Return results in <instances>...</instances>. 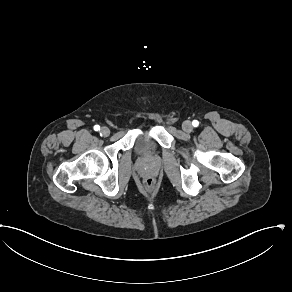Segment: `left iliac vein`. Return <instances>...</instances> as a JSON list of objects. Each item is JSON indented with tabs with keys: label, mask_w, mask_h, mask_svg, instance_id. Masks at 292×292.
<instances>
[{
	"label": "left iliac vein",
	"mask_w": 292,
	"mask_h": 292,
	"mask_svg": "<svg viewBox=\"0 0 292 292\" xmlns=\"http://www.w3.org/2000/svg\"><path fill=\"white\" fill-rule=\"evenodd\" d=\"M182 129L185 131V132H187V133H189V132H191L192 131V129H193V125H192V123L190 122V121H184L183 122V124H182Z\"/></svg>",
	"instance_id": "4c4485c4"
}]
</instances>
